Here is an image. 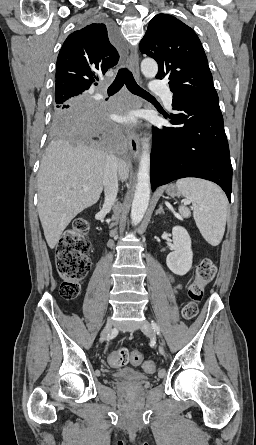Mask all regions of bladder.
Returning a JSON list of instances; mask_svg holds the SVG:
<instances>
[{
    "label": "bladder",
    "instance_id": "31cf9c89",
    "mask_svg": "<svg viewBox=\"0 0 256 445\" xmlns=\"http://www.w3.org/2000/svg\"><path fill=\"white\" fill-rule=\"evenodd\" d=\"M113 376L116 379L126 380V381H135V382H143L148 380V376L140 372L139 370L125 367L118 369L114 372Z\"/></svg>",
    "mask_w": 256,
    "mask_h": 445
}]
</instances>
